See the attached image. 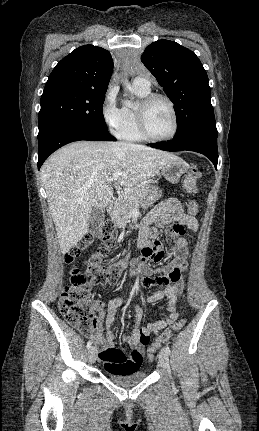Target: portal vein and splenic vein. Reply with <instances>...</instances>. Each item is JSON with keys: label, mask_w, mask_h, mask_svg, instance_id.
Wrapping results in <instances>:
<instances>
[{"label": "portal vein and splenic vein", "mask_w": 259, "mask_h": 431, "mask_svg": "<svg viewBox=\"0 0 259 431\" xmlns=\"http://www.w3.org/2000/svg\"><path fill=\"white\" fill-rule=\"evenodd\" d=\"M121 175H122V172L121 171H117L114 174H112L111 177H109L107 179V182H113V181L117 180Z\"/></svg>", "instance_id": "portal-vein-and-splenic-vein-1"}]
</instances>
